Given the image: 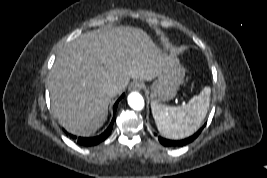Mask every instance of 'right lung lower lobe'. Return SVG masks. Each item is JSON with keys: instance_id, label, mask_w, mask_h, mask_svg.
Segmentation results:
<instances>
[{"instance_id": "1", "label": "right lung lower lobe", "mask_w": 267, "mask_h": 178, "mask_svg": "<svg viewBox=\"0 0 267 178\" xmlns=\"http://www.w3.org/2000/svg\"><path fill=\"white\" fill-rule=\"evenodd\" d=\"M124 97V94L117 100V102L115 103L114 105V113L116 111V108L118 106V102ZM113 122H114V119H112L109 127L99 136H96V137H91V138H83V137H78L77 140H78V143L83 145V146H93V145H96L102 141H104L110 134L111 130H112V127H113ZM73 138H76L74 136H72Z\"/></svg>"}]
</instances>
